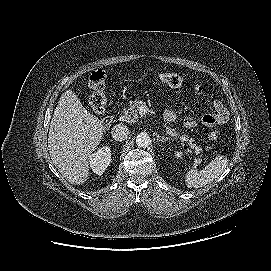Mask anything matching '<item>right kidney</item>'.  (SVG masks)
Listing matches in <instances>:
<instances>
[{
	"mask_svg": "<svg viewBox=\"0 0 271 271\" xmlns=\"http://www.w3.org/2000/svg\"><path fill=\"white\" fill-rule=\"evenodd\" d=\"M110 162L111 150L109 147L104 146L92 154L90 158V167L95 174L101 175L109 166Z\"/></svg>",
	"mask_w": 271,
	"mask_h": 271,
	"instance_id": "1",
	"label": "right kidney"
}]
</instances>
